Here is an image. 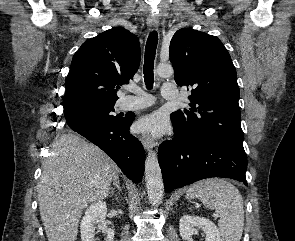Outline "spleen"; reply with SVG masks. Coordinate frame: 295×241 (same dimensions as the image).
<instances>
[{
  "instance_id": "obj_1",
  "label": "spleen",
  "mask_w": 295,
  "mask_h": 241,
  "mask_svg": "<svg viewBox=\"0 0 295 241\" xmlns=\"http://www.w3.org/2000/svg\"><path fill=\"white\" fill-rule=\"evenodd\" d=\"M186 198H198L207 208L215 209L223 241H240L244 227L243 198L233 184L221 178L202 180L188 188Z\"/></svg>"
}]
</instances>
